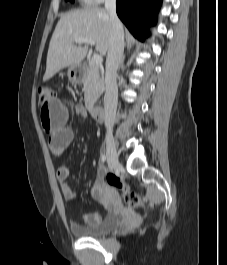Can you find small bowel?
Returning a JSON list of instances; mask_svg holds the SVG:
<instances>
[{
    "instance_id": "1",
    "label": "small bowel",
    "mask_w": 227,
    "mask_h": 265,
    "mask_svg": "<svg viewBox=\"0 0 227 265\" xmlns=\"http://www.w3.org/2000/svg\"><path fill=\"white\" fill-rule=\"evenodd\" d=\"M64 104H73V99H62L61 101L53 98L50 102H41V110L39 112L42 127L48 133L50 151L54 155L63 154L74 139L73 130L67 126L68 109ZM75 112L82 117L87 114L85 108L80 104L75 106ZM103 172V169L98 171L91 194L95 200L107 205L108 197L105 194ZM56 176L63 198L66 201H75L77 194L68 182L70 177L69 168L65 165L58 167ZM101 219L98 213H85L83 215V221L89 226L99 224Z\"/></svg>"
}]
</instances>
